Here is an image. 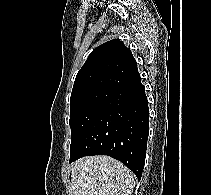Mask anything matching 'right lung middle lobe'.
Instances as JSON below:
<instances>
[{"mask_svg":"<svg viewBox=\"0 0 211 195\" xmlns=\"http://www.w3.org/2000/svg\"><path fill=\"white\" fill-rule=\"evenodd\" d=\"M113 91L94 89L71 96L70 127L72 152L106 105Z\"/></svg>","mask_w":211,"mask_h":195,"instance_id":"right-lung-middle-lobe-1","label":"right lung middle lobe"}]
</instances>
